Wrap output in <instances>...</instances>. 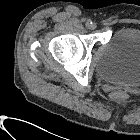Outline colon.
<instances>
[{"instance_id":"colon-1","label":"colon","mask_w":140,"mask_h":140,"mask_svg":"<svg viewBox=\"0 0 140 140\" xmlns=\"http://www.w3.org/2000/svg\"><path fill=\"white\" fill-rule=\"evenodd\" d=\"M111 98L115 101H124L128 98V93L125 90H116L112 92Z\"/></svg>"}]
</instances>
